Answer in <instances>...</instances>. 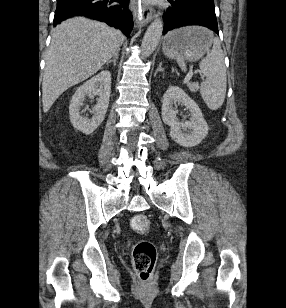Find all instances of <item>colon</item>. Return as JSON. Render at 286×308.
Masks as SVG:
<instances>
[{
  "label": "colon",
  "mask_w": 286,
  "mask_h": 308,
  "mask_svg": "<svg viewBox=\"0 0 286 308\" xmlns=\"http://www.w3.org/2000/svg\"><path fill=\"white\" fill-rule=\"evenodd\" d=\"M130 225L137 232H146L150 227L146 215L138 214L131 219ZM157 258L155 246L149 241H139L133 248L132 263L139 279L146 283L150 280Z\"/></svg>",
  "instance_id": "colon-1"
}]
</instances>
